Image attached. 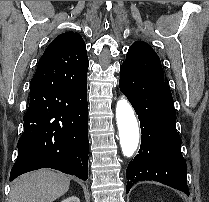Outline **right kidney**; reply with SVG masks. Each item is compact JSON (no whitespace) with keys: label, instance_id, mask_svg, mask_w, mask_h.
<instances>
[{"label":"right kidney","instance_id":"right-kidney-1","mask_svg":"<svg viewBox=\"0 0 209 202\" xmlns=\"http://www.w3.org/2000/svg\"><path fill=\"white\" fill-rule=\"evenodd\" d=\"M61 202H80V200L76 196H70V197L62 200Z\"/></svg>","mask_w":209,"mask_h":202}]
</instances>
